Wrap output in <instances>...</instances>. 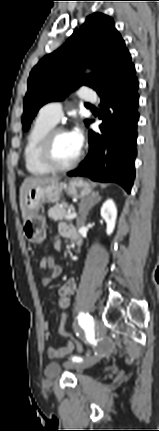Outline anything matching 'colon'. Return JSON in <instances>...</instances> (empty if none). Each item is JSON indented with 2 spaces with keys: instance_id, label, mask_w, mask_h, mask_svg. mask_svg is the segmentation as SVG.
<instances>
[{
  "instance_id": "obj_1",
  "label": "colon",
  "mask_w": 159,
  "mask_h": 431,
  "mask_svg": "<svg viewBox=\"0 0 159 431\" xmlns=\"http://www.w3.org/2000/svg\"><path fill=\"white\" fill-rule=\"evenodd\" d=\"M46 268L48 269V272L53 273L56 270L55 267V258L52 256V254L48 253L46 254ZM69 315L66 313L65 310H62L61 318L58 325V336L60 338L68 337L70 339L71 343H75V347L77 350H75V355H81L83 352V341H77V337L75 334L72 333V331L66 330V323L68 322Z\"/></svg>"
}]
</instances>
